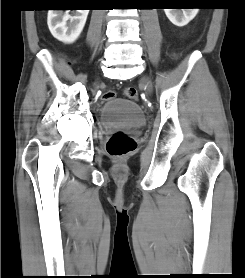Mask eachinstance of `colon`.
<instances>
[{"mask_svg": "<svg viewBox=\"0 0 245 278\" xmlns=\"http://www.w3.org/2000/svg\"><path fill=\"white\" fill-rule=\"evenodd\" d=\"M201 8H207L202 6ZM125 94L129 99L135 100L138 97L135 87H127ZM114 97V93L106 91L103 94L105 100H110ZM136 149V142L133 138L128 136L124 131H115L107 142L106 150L111 158L116 161H120L125 157L132 154Z\"/></svg>", "mask_w": 245, "mask_h": 278, "instance_id": "obj_1", "label": "colon"}]
</instances>
